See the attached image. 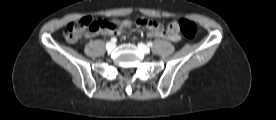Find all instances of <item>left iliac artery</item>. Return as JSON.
Returning <instances> with one entry per match:
<instances>
[{"label": "left iliac artery", "instance_id": "left-iliac-artery-1", "mask_svg": "<svg viewBox=\"0 0 276 120\" xmlns=\"http://www.w3.org/2000/svg\"><path fill=\"white\" fill-rule=\"evenodd\" d=\"M147 45H148L149 47H152V46H153V43H152V42H148Z\"/></svg>", "mask_w": 276, "mask_h": 120}]
</instances>
